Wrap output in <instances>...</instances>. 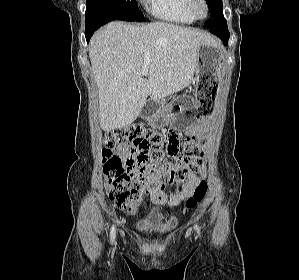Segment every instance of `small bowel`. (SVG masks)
I'll return each instance as SVG.
<instances>
[{
    "mask_svg": "<svg viewBox=\"0 0 299 280\" xmlns=\"http://www.w3.org/2000/svg\"><path fill=\"white\" fill-rule=\"evenodd\" d=\"M200 133L201 131L197 127H192L188 131V134L191 136H196ZM116 151L121 157H127L129 147L121 146ZM206 171V165L201 160L192 171H189L184 177L180 178V180H183L181 188L178 191L173 192L170 196L165 192V184L162 180L163 174L160 168H148L143 175L142 183L154 204L175 207L184 199L192 196L196 186L200 183V175L204 176Z\"/></svg>",
    "mask_w": 299,
    "mask_h": 280,
    "instance_id": "1",
    "label": "small bowel"
}]
</instances>
